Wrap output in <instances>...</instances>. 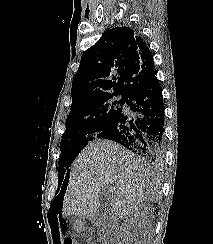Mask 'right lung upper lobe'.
<instances>
[{
	"label": "right lung upper lobe",
	"mask_w": 213,
	"mask_h": 244,
	"mask_svg": "<svg viewBox=\"0 0 213 244\" xmlns=\"http://www.w3.org/2000/svg\"><path fill=\"white\" fill-rule=\"evenodd\" d=\"M153 72L152 55L136 31L109 29L81 58L72 83L71 108L109 95L128 99Z\"/></svg>",
	"instance_id": "right-lung-upper-lobe-1"
}]
</instances>
